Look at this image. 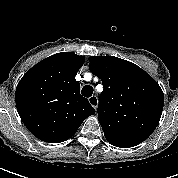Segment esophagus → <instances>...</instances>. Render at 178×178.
Masks as SVG:
<instances>
[{"mask_svg": "<svg viewBox=\"0 0 178 178\" xmlns=\"http://www.w3.org/2000/svg\"><path fill=\"white\" fill-rule=\"evenodd\" d=\"M89 103L92 105L93 108H97L98 106V98L97 96L93 95L89 98Z\"/></svg>", "mask_w": 178, "mask_h": 178, "instance_id": "34e87169", "label": "esophagus"}]
</instances>
